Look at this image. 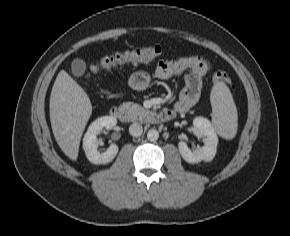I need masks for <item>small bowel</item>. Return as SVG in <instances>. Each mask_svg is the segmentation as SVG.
<instances>
[{
  "label": "small bowel",
  "mask_w": 290,
  "mask_h": 236,
  "mask_svg": "<svg viewBox=\"0 0 290 236\" xmlns=\"http://www.w3.org/2000/svg\"><path fill=\"white\" fill-rule=\"evenodd\" d=\"M211 68L205 56L192 53L175 60H162L151 72L133 73L129 79V85L132 89L141 91L145 90L153 80L184 76L185 86L174 108L185 111L198 102L203 79Z\"/></svg>",
  "instance_id": "obj_1"
}]
</instances>
